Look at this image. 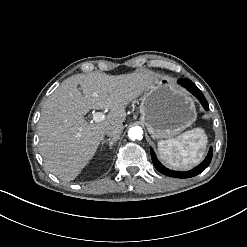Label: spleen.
Masks as SVG:
<instances>
[{
  "label": "spleen",
  "instance_id": "obj_1",
  "mask_svg": "<svg viewBox=\"0 0 247 247\" xmlns=\"http://www.w3.org/2000/svg\"><path fill=\"white\" fill-rule=\"evenodd\" d=\"M207 135L202 128L186 131L176 139L161 140L158 142L160 158L169 165L181 170H188L198 165L204 155L207 145ZM176 145V152L168 150V147Z\"/></svg>",
  "mask_w": 247,
  "mask_h": 247
}]
</instances>
